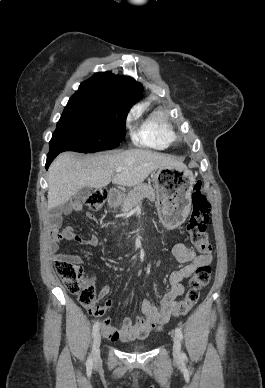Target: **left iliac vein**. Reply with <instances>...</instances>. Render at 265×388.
I'll use <instances>...</instances> for the list:
<instances>
[{"label":"left iliac vein","mask_w":265,"mask_h":388,"mask_svg":"<svg viewBox=\"0 0 265 388\" xmlns=\"http://www.w3.org/2000/svg\"><path fill=\"white\" fill-rule=\"evenodd\" d=\"M173 356L176 360L181 359V343L177 335L173 336Z\"/></svg>","instance_id":"4c4485c4"}]
</instances>
